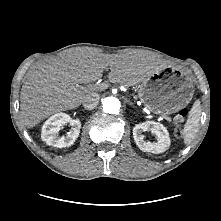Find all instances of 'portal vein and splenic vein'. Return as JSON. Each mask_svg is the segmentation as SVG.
Instances as JSON below:
<instances>
[{"mask_svg": "<svg viewBox=\"0 0 221 221\" xmlns=\"http://www.w3.org/2000/svg\"><path fill=\"white\" fill-rule=\"evenodd\" d=\"M88 87L89 88H99L100 90H103L106 88V84H98V85L89 84ZM144 112L146 114H148L149 116H152L149 110H145ZM164 118H166L167 120L169 119L168 117H164Z\"/></svg>", "mask_w": 221, "mask_h": 221, "instance_id": "18ae733b", "label": "portal vein and splenic vein"}]
</instances>
